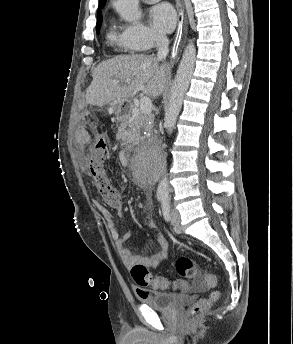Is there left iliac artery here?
<instances>
[{
    "label": "left iliac artery",
    "mask_w": 293,
    "mask_h": 344,
    "mask_svg": "<svg viewBox=\"0 0 293 344\" xmlns=\"http://www.w3.org/2000/svg\"><path fill=\"white\" fill-rule=\"evenodd\" d=\"M162 203V211H163V215L164 218L169 221L170 219V203H169V198L168 197H164L161 200Z\"/></svg>",
    "instance_id": "obj_1"
}]
</instances>
